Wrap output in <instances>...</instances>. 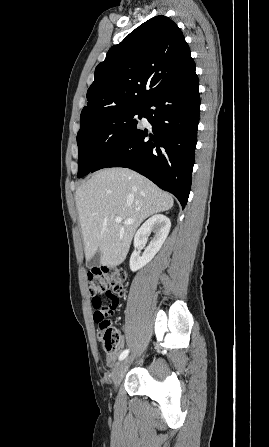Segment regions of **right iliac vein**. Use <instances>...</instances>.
<instances>
[{
  "label": "right iliac vein",
  "mask_w": 269,
  "mask_h": 447,
  "mask_svg": "<svg viewBox=\"0 0 269 447\" xmlns=\"http://www.w3.org/2000/svg\"><path fill=\"white\" fill-rule=\"evenodd\" d=\"M132 361H133V359L131 357H129L117 364V366L114 369L113 375H112V381L115 386H118V384L121 382V380L124 377V374L128 370L129 364Z\"/></svg>",
  "instance_id": "right-iliac-vein-1"
}]
</instances>
